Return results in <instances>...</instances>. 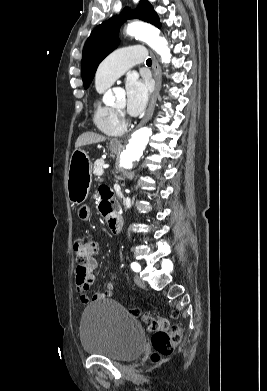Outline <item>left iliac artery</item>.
I'll return each instance as SVG.
<instances>
[{
  "mask_svg": "<svg viewBox=\"0 0 267 391\" xmlns=\"http://www.w3.org/2000/svg\"><path fill=\"white\" fill-rule=\"evenodd\" d=\"M131 268H132V270L133 271H135V272H139L140 271V265L138 264V263H135V262H133V263H131Z\"/></svg>",
  "mask_w": 267,
  "mask_h": 391,
  "instance_id": "left-iliac-artery-1",
  "label": "left iliac artery"
}]
</instances>
